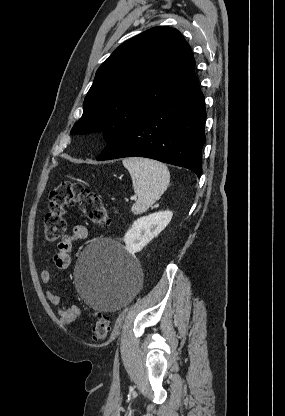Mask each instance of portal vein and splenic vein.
Instances as JSON below:
<instances>
[{"mask_svg":"<svg viewBox=\"0 0 285 416\" xmlns=\"http://www.w3.org/2000/svg\"><path fill=\"white\" fill-rule=\"evenodd\" d=\"M137 196H133V198H130V200H136Z\"/></svg>","mask_w":285,"mask_h":416,"instance_id":"portal-vein-and-splenic-vein-1","label":"portal vein and splenic vein"}]
</instances>
